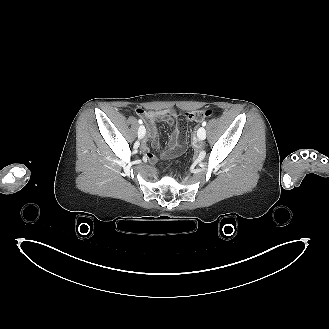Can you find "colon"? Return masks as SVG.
<instances>
[{"label": "colon", "instance_id": "1", "mask_svg": "<svg viewBox=\"0 0 329 329\" xmlns=\"http://www.w3.org/2000/svg\"><path fill=\"white\" fill-rule=\"evenodd\" d=\"M212 115L210 110L185 111V120L190 122H200Z\"/></svg>", "mask_w": 329, "mask_h": 329}]
</instances>
